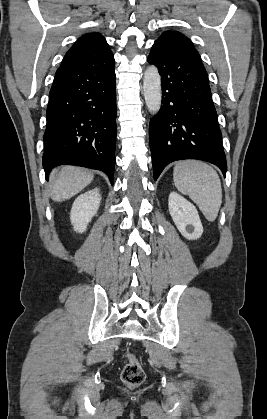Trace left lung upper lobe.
Segmentation results:
<instances>
[{
  "mask_svg": "<svg viewBox=\"0 0 267 419\" xmlns=\"http://www.w3.org/2000/svg\"><path fill=\"white\" fill-rule=\"evenodd\" d=\"M154 44L163 45L168 48L188 52L201 60L199 53L194 48L189 38L177 31H165Z\"/></svg>",
  "mask_w": 267,
  "mask_h": 419,
  "instance_id": "left-lung-upper-lobe-1",
  "label": "left lung upper lobe"
}]
</instances>
